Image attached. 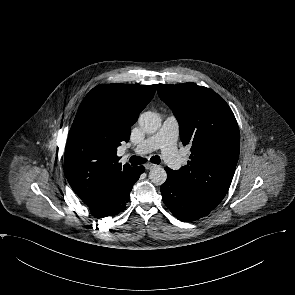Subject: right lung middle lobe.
Listing matches in <instances>:
<instances>
[{
  "label": "right lung middle lobe",
  "mask_w": 295,
  "mask_h": 295,
  "mask_svg": "<svg viewBox=\"0 0 295 295\" xmlns=\"http://www.w3.org/2000/svg\"><path fill=\"white\" fill-rule=\"evenodd\" d=\"M86 99V112L88 116L95 120L104 119L110 112L109 100L102 91L88 93Z\"/></svg>",
  "instance_id": "1"
}]
</instances>
